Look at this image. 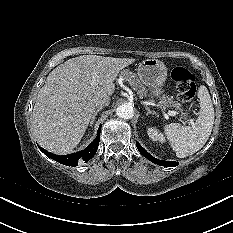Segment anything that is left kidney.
<instances>
[{"label":"left kidney","mask_w":233,"mask_h":233,"mask_svg":"<svg viewBox=\"0 0 233 233\" xmlns=\"http://www.w3.org/2000/svg\"><path fill=\"white\" fill-rule=\"evenodd\" d=\"M147 133L153 141L165 142L164 136L156 128H148Z\"/></svg>","instance_id":"left-kidney-1"}]
</instances>
